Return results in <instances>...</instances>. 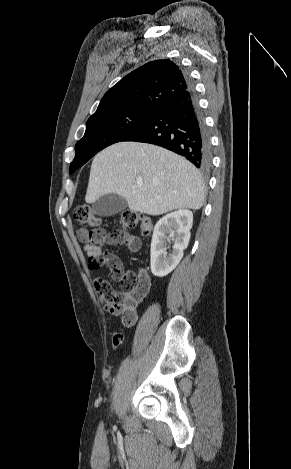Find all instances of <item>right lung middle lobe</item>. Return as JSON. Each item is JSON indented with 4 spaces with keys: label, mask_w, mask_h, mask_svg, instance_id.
I'll use <instances>...</instances> for the list:
<instances>
[{
    "label": "right lung middle lobe",
    "mask_w": 291,
    "mask_h": 469,
    "mask_svg": "<svg viewBox=\"0 0 291 469\" xmlns=\"http://www.w3.org/2000/svg\"><path fill=\"white\" fill-rule=\"evenodd\" d=\"M153 111L131 109L89 119L83 138L75 146L76 156L69 172L73 173L100 150L131 134L151 116Z\"/></svg>",
    "instance_id": "1"
}]
</instances>
